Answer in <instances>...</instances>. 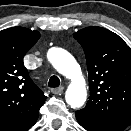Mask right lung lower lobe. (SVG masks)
Segmentation results:
<instances>
[{"label":"right lung lower lobe","instance_id":"1","mask_svg":"<svg viewBox=\"0 0 131 131\" xmlns=\"http://www.w3.org/2000/svg\"><path fill=\"white\" fill-rule=\"evenodd\" d=\"M35 122H36V121H35ZM35 122L31 123L27 129H29L32 125H34ZM27 129H26V130H27ZM26 130H24V131H26Z\"/></svg>","mask_w":131,"mask_h":131}]
</instances>
